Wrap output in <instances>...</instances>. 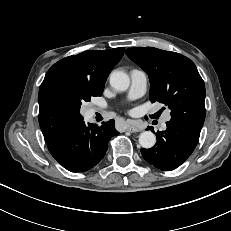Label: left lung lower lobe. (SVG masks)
I'll return each mask as SVG.
<instances>
[{
    "instance_id": "1",
    "label": "left lung lower lobe",
    "mask_w": 231,
    "mask_h": 231,
    "mask_svg": "<svg viewBox=\"0 0 231 231\" xmlns=\"http://www.w3.org/2000/svg\"><path fill=\"white\" fill-rule=\"evenodd\" d=\"M167 129L157 133V143L151 149H141L143 158L164 171L180 166L194 151L200 131L179 122H166ZM147 129H152L148 127Z\"/></svg>"
}]
</instances>
